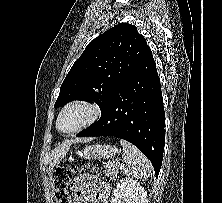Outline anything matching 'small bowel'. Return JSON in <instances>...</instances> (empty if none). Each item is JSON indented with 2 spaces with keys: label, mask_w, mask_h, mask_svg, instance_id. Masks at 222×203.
<instances>
[{
  "label": "small bowel",
  "mask_w": 222,
  "mask_h": 203,
  "mask_svg": "<svg viewBox=\"0 0 222 203\" xmlns=\"http://www.w3.org/2000/svg\"><path fill=\"white\" fill-rule=\"evenodd\" d=\"M73 203H84L93 200L94 203H108L110 188L96 177L79 179L75 186Z\"/></svg>",
  "instance_id": "1"
}]
</instances>
